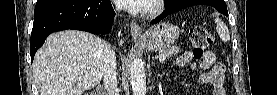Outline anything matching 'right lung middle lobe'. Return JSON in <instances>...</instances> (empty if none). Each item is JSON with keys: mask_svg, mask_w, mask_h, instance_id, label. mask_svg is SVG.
<instances>
[{"mask_svg": "<svg viewBox=\"0 0 277 95\" xmlns=\"http://www.w3.org/2000/svg\"><path fill=\"white\" fill-rule=\"evenodd\" d=\"M42 1H46V0H38L37 2H42Z\"/></svg>", "mask_w": 277, "mask_h": 95, "instance_id": "obj_1", "label": "right lung middle lobe"}]
</instances>
